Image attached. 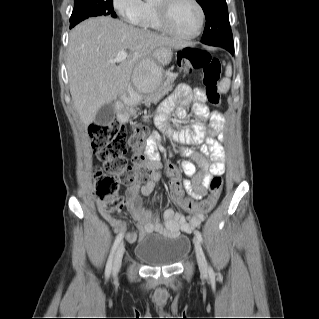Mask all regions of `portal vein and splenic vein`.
<instances>
[{"label":"portal vein and splenic vein","mask_w":319,"mask_h":319,"mask_svg":"<svg viewBox=\"0 0 319 319\" xmlns=\"http://www.w3.org/2000/svg\"><path fill=\"white\" fill-rule=\"evenodd\" d=\"M128 54L126 51H120L117 53L115 59L112 60L114 63H120L127 58Z\"/></svg>","instance_id":"1"}]
</instances>
